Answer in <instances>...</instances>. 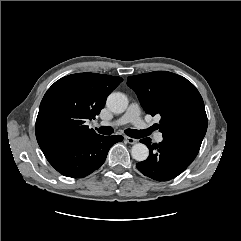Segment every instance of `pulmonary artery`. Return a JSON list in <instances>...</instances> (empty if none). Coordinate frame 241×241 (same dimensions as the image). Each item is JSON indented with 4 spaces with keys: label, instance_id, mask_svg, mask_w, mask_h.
I'll return each instance as SVG.
<instances>
[{
    "label": "pulmonary artery",
    "instance_id": "e3ab8cb5",
    "mask_svg": "<svg viewBox=\"0 0 241 241\" xmlns=\"http://www.w3.org/2000/svg\"><path fill=\"white\" fill-rule=\"evenodd\" d=\"M126 123H132L137 128L143 129L146 127L145 122L141 118V111L136 103H132L125 114L119 119L115 120L112 125H124ZM154 139L156 142L163 141V135L160 132L155 133Z\"/></svg>",
    "mask_w": 241,
    "mask_h": 241
}]
</instances>
